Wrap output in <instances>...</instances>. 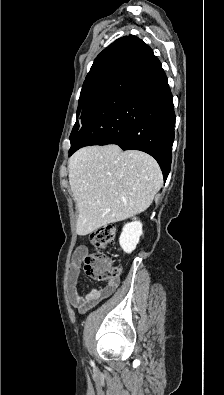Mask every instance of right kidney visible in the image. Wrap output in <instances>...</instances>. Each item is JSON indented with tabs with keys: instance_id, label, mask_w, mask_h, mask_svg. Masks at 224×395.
Here are the masks:
<instances>
[{
	"instance_id": "1",
	"label": "right kidney",
	"mask_w": 224,
	"mask_h": 395,
	"mask_svg": "<svg viewBox=\"0 0 224 395\" xmlns=\"http://www.w3.org/2000/svg\"><path fill=\"white\" fill-rule=\"evenodd\" d=\"M142 234V223L136 219L124 226L119 238V243L123 251L128 254L133 252Z\"/></svg>"
}]
</instances>
